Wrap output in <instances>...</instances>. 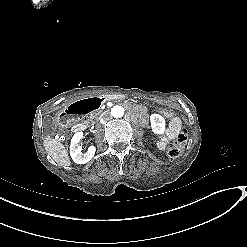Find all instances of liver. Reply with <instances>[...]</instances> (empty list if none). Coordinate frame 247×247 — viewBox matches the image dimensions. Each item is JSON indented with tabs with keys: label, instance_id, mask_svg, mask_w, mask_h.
Here are the masks:
<instances>
[{
	"label": "liver",
	"instance_id": "liver-1",
	"mask_svg": "<svg viewBox=\"0 0 247 247\" xmlns=\"http://www.w3.org/2000/svg\"><path fill=\"white\" fill-rule=\"evenodd\" d=\"M43 145L53 164L64 168H68L71 165L68 151L61 142L56 139L46 138L43 141Z\"/></svg>",
	"mask_w": 247,
	"mask_h": 247
}]
</instances>
